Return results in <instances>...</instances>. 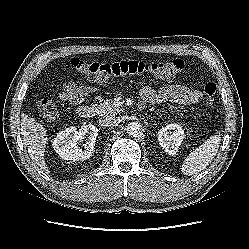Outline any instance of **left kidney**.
I'll return each instance as SVG.
<instances>
[{
    "label": "left kidney",
    "instance_id": "1",
    "mask_svg": "<svg viewBox=\"0 0 249 249\" xmlns=\"http://www.w3.org/2000/svg\"><path fill=\"white\" fill-rule=\"evenodd\" d=\"M183 135L184 131L180 126L168 125L159 131V144L169 155H175L183 140Z\"/></svg>",
    "mask_w": 249,
    "mask_h": 249
}]
</instances>
